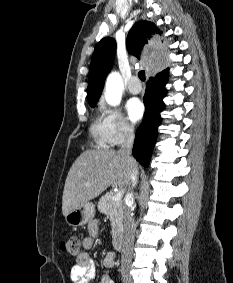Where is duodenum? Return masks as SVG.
<instances>
[{
	"mask_svg": "<svg viewBox=\"0 0 233 283\" xmlns=\"http://www.w3.org/2000/svg\"><path fill=\"white\" fill-rule=\"evenodd\" d=\"M122 243H123V239H122L121 235L118 234L115 238V246H116L117 250L121 249Z\"/></svg>",
	"mask_w": 233,
	"mask_h": 283,
	"instance_id": "duodenum-1",
	"label": "duodenum"
}]
</instances>
